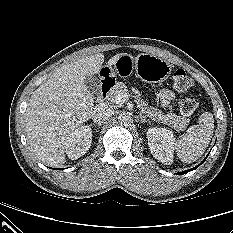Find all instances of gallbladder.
<instances>
[{
    "instance_id": "gallbladder-1",
    "label": "gallbladder",
    "mask_w": 233,
    "mask_h": 233,
    "mask_svg": "<svg viewBox=\"0 0 233 233\" xmlns=\"http://www.w3.org/2000/svg\"><path fill=\"white\" fill-rule=\"evenodd\" d=\"M85 84L94 97H98L100 95L101 92L100 80L96 76L94 75L87 76L85 78Z\"/></svg>"
}]
</instances>
